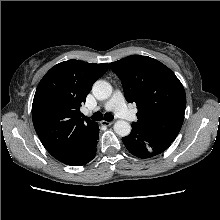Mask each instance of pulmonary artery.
Listing matches in <instances>:
<instances>
[{
  "mask_svg": "<svg viewBox=\"0 0 220 220\" xmlns=\"http://www.w3.org/2000/svg\"><path fill=\"white\" fill-rule=\"evenodd\" d=\"M107 111H114L116 115L127 121L133 120L135 115L126 107L124 97L120 91H115L109 101L104 106Z\"/></svg>",
  "mask_w": 220,
  "mask_h": 220,
  "instance_id": "obj_1",
  "label": "pulmonary artery"
}]
</instances>
